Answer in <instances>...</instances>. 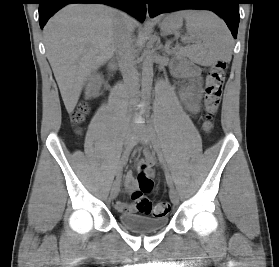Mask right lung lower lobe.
Returning <instances> with one entry per match:
<instances>
[{
	"label": "right lung lower lobe",
	"mask_w": 279,
	"mask_h": 267,
	"mask_svg": "<svg viewBox=\"0 0 279 267\" xmlns=\"http://www.w3.org/2000/svg\"><path fill=\"white\" fill-rule=\"evenodd\" d=\"M70 3H102L123 9L144 21L146 16L145 0H40L39 1V24L43 28L48 19L63 6Z\"/></svg>",
	"instance_id": "1"
}]
</instances>
